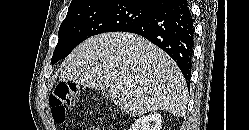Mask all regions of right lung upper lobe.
<instances>
[{
	"label": "right lung upper lobe",
	"instance_id": "right-lung-upper-lobe-1",
	"mask_svg": "<svg viewBox=\"0 0 249 130\" xmlns=\"http://www.w3.org/2000/svg\"><path fill=\"white\" fill-rule=\"evenodd\" d=\"M95 1H103V0H72L69 9L79 7L85 4H89ZM130 3H133L139 7L159 12L168 5L172 4L176 0H128Z\"/></svg>",
	"mask_w": 249,
	"mask_h": 130
}]
</instances>
